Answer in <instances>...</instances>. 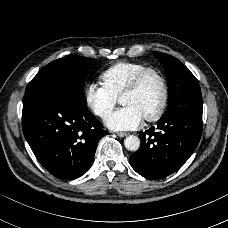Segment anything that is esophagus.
I'll return each mask as SVG.
<instances>
[{"label":"esophagus","mask_w":228,"mask_h":228,"mask_svg":"<svg viewBox=\"0 0 228 228\" xmlns=\"http://www.w3.org/2000/svg\"><path fill=\"white\" fill-rule=\"evenodd\" d=\"M116 134L118 137H126L127 136V133H125V132H116Z\"/></svg>","instance_id":"obj_1"}]
</instances>
